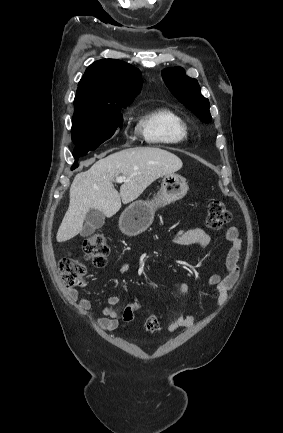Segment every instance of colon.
I'll list each match as a JSON object with an SVG mask.
<instances>
[{"label": "colon", "instance_id": "colon-1", "mask_svg": "<svg viewBox=\"0 0 283 433\" xmlns=\"http://www.w3.org/2000/svg\"><path fill=\"white\" fill-rule=\"evenodd\" d=\"M231 215L224 204L218 200H211L206 205V224L210 229L218 230L230 221ZM84 256L96 267H103L106 264L109 253L107 237L103 233H94L83 241ZM60 270L62 279L67 288L72 289L82 285L85 274V265L75 258L67 257L61 260ZM138 304L130 303L125 306L122 314L124 322L134 319ZM145 330L153 334L161 328V320L156 315H150L145 321Z\"/></svg>", "mask_w": 283, "mask_h": 433}]
</instances>
